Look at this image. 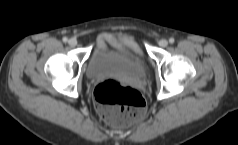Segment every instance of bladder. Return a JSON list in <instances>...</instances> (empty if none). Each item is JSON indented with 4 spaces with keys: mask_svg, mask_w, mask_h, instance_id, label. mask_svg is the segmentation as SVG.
Listing matches in <instances>:
<instances>
[{
    "mask_svg": "<svg viewBox=\"0 0 238 145\" xmlns=\"http://www.w3.org/2000/svg\"><path fill=\"white\" fill-rule=\"evenodd\" d=\"M86 74L91 79L108 74L140 79L147 76L148 65L143 58H133L122 51H107L100 46L87 60Z\"/></svg>",
    "mask_w": 238,
    "mask_h": 145,
    "instance_id": "1",
    "label": "bladder"
}]
</instances>
